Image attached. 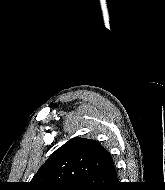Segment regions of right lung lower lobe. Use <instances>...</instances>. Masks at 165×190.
I'll use <instances>...</instances> for the list:
<instances>
[{
    "label": "right lung lower lobe",
    "mask_w": 165,
    "mask_h": 190,
    "mask_svg": "<svg viewBox=\"0 0 165 190\" xmlns=\"http://www.w3.org/2000/svg\"><path fill=\"white\" fill-rule=\"evenodd\" d=\"M79 190H122L123 185L117 181L116 168L111 160L87 174Z\"/></svg>",
    "instance_id": "1"
}]
</instances>
